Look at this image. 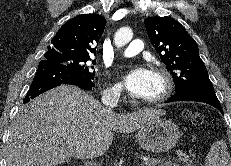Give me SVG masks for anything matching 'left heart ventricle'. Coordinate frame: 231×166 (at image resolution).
<instances>
[{"instance_id":"b2bd125f","label":"left heart ventricle","mask_w":231,"mask_h":166,"mask_svg":"<svg viewBox=\"0 0 231 166\" xmlns=\"http://www.w3.org/2000/svg\"><path fill=\"white\" fill-rule=\"evenodd\" d=\"M161 88V81L160 79L153 73V79H152V84L151 88L148 92V94L145 96V98H150L155 96Z\"/></svg>"}]
</instances>
